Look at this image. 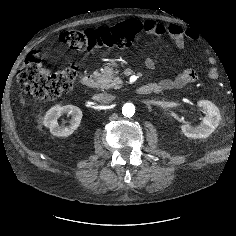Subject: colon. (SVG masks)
I'll return each instance as SVG.
<instances>
[{
    "mask_svg": "<svg viewBox=\"0 0 236 236\" xmlns=\"http://www.w3.org/2000/svg\"><path fill=\"white\" fill-rule=\"evenodd\" d=\"M141 23L126 20L109 27L84 31H66L59 39L70 48L87 53L102 48H126L133 44ZM78 66L71 65L56 71L49 70L37 51H32L18 72L22 88L39 99L53 100L69 92L78 79Z\"/></svg>",
    "mask_w": 236,
    "mask_h": 236,
    "instance_id": "colon-1",
    "label": "colon"
}]
</instances>
